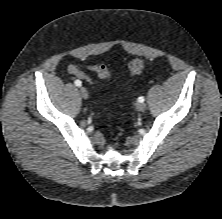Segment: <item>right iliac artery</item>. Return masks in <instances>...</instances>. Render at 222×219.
I'll use <instances>...</instances> for the list:
<instances>
[{"mask_svg": "<svg viewBox=\"0 0 222 219\" xmlns=\"http://www.w3.org/2000/svg\"><path fill=\"white\" fill-rule=\"evenodd\" d=\"M75 85H76L77 87H80V86L82 85V82H81L80 80H76V81H75Z\"/></svg>", "mask_w": 222, "mask_h": 219, "instance_id": "obj_1", "label": "right iliac artery"}]
</instances>
